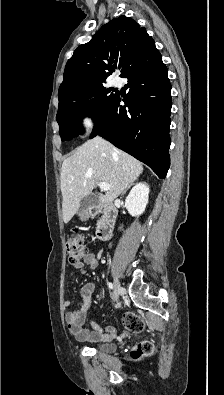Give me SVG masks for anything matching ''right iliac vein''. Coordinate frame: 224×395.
Here are the masks:
<instances>
[{
  "instance_id": "obj_1",
  "label": "right iliac vein",
  "mask_w": 224,
  "mask_h": 395,
  "mask_svg": "<svg viewBox=\"0 0 224 395\" xmlns=\"http://www.w3.org/2000/svg\"><path fill=\"white\" fill-rule=\"evenodd\" d=\"M114 300L117 301L119 299L120 294L122 293L123 289L117 279V277H114Z\"/></svg>"
}]
</instances>
